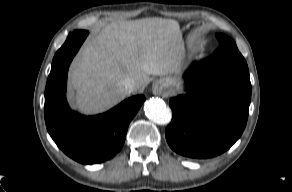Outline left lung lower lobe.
<instances>
[{
    "label": "left lung lower lobe",
    "instance_id": "1",
    "mask_svg": "<svg viewBox=\"0 0 292 192\" xmlns=\"http://www.w3.org/2000/svg\"><path fill=\"white\" fill-rule=\"evenodd\" d=\"M185 78L187 95L170 100L172 121L165 130L169 146L191 158H210L228 150L248 118L251 83L245 59L233 48H218Z\"/></svg>",
    "mask_w": 292,
    "mask_h": 192
}]
</instances>
